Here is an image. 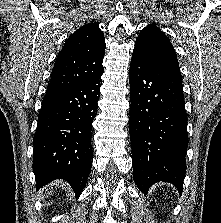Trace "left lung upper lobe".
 Here are the masks:
<instances>
[{
    "label": "left lung upper lobe",
    "instance_id": "1",
    "mask_svg": "<svg viewBox=\"0 0 221 223\" xmlns=\"http://www.w3.org/2000/svg\"><path fill=\"white\" fill-rule=\"evenodd\" d=\"M133 54L163 68L179 71V63L169 38L155 25L145 27L136 39Z\"/></svg>",
    "mask_w": 221,
    "mask_h": 223
}]
</instances>
